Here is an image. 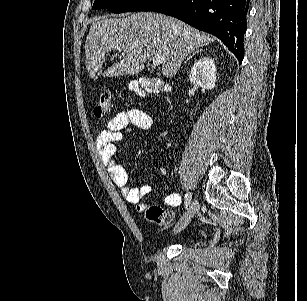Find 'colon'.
Wrapping results in <instances>:
<instances>
[{
	"label": "colon",
	"instance_id": "1",
	"mask_svg": "<svg viewBox=\"0 0 307 301\" xmlns=\"http://www.w3.org/2000/svg\"><path fill=\"white\" fill-rule=\"evenodd\" d=\"M130 90L138 96H145L147 93L166 92L165 86L157 80H140L130 84ZM94 115L98 119L106 118L112 111L111 95L108 91H104L99 98L98 103L94 107ZM146 219L155 224L169 225L174 218L171 211L159 206H150L145 212Z\"/></svg>",
	"mask_w": 307,
	"mask_h": 301
}]
</instances>
